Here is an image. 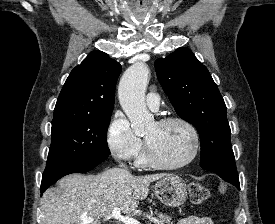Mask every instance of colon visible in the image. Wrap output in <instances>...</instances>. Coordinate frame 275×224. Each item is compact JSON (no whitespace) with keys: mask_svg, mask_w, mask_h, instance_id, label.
<instances>
[{"mask_svg":"<svg viewBox=\"0 0 275 224\" xmlns=\"http://www.w3.org/2000/svg\"><path fill=\"white\" fill-rule=\"evenodd\" d=\"M188 188L190 199L194 204H201L208 200L210 196L209 189L200 183L192 182L189 184Z\"/></svg>","mask_w":275,"mask_h":224,"instance_id":"5ec220e1","label":"colon"}]
</instances>
